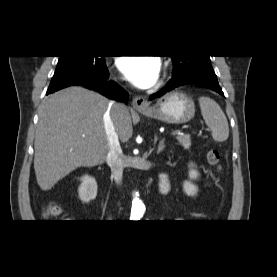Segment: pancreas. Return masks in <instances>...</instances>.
Masks as SVG:
<instances>
[{"mask_svg":"<svg viewBox=\"0 0 277 277\" xmlns=\"http://www.w3.org/2000/svg\"><path fill=\"white\" fill-rule=\"evenodd\" d=\"M177 141L186 149L190 148L191 146V139L189 135L178 136Z\"/></svg>","mask_w":277,"mask_h":277,"instance_id":"pancreas-1","label":"pancreas"}]
</instances>
